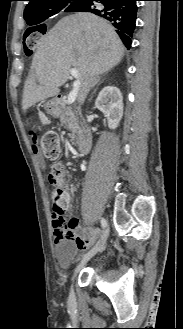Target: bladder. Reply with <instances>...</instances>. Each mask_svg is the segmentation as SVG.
<instances>
[{"mask_svg":"<svg viewBox=\"0 0 183 329\" xmlns=\"http://www.w3.org/2000/svg\"><path fill=\"white\" fill-rule=\"evenodd\" d=\"M76 246L70 239H63L56 244L57 258L63 268H68L76 256ZM105 264L103 261H97L93 266L95 274H101L104 271Z\"/></svg>","mask_w":183,"mask_h":329,"instance_id":"obj_1","label":"bladder"}]
</instances>
